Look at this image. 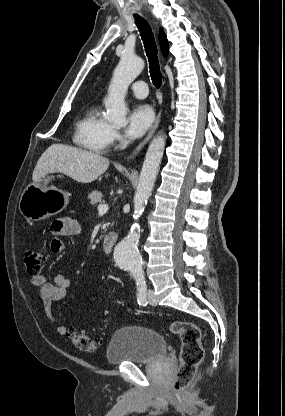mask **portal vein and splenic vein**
<instances>
[{
    "label": "portal vein and splenic vein",
    "mask_w": 285,
    "mask_h": 416,
    "mask_svg": "<svg viewBox=\"0 0 285 416\" xmlns=\"http://www.w3.org/2000/svg\"><path fill=\"white\" fill-rule=\"evenodd\" d=\"M109 208L107 204H99L98 206V214H106L108 212Z\"/></svg>",
    "instance_id": "obj_1"
}]
</instances>
